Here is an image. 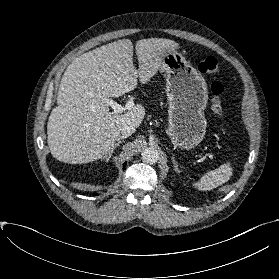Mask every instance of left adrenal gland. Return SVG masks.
I'll use <instances>...</instances> for the list:
<instances>
[{"instance_id": "left-adrenal-gland-1", "label": "left adrenal gland", "mask_w": 279, "mask_h": 279, "mask_svg": "<svg viewBox=\"0 0 279 279\" xmlns=\"http://www.w3.org/2000/svg\"><path fill=\"white\" fill-rule=\"evenodd\" d=\"M172 161H173V164H174V170H175L176 172H179V170H178V164H177V162H176L174 156L172 157Z\"/></svg>"}]
</instances>
